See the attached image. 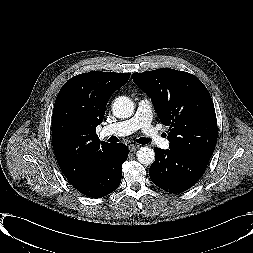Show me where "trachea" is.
Instances as JSON below:
<instances>
[{"label": "trachea", "instance_id": "1", "mask_svg": "<svg viewBox=\"0 0 253 253\" xmlns=\"http://www.w3.org/2000/svg\"><path fill=\"white\" fill-rule=\"evenodd\" d=\"M112 137L116 138L115 136H112ZM136 142L144 145V144H148L149 140L147 138L140 137L139 139L136 140Z\"/></svg>", "mask_w": 253, "mask_h": 253}]
</instances>
